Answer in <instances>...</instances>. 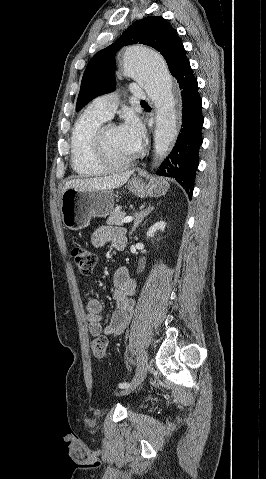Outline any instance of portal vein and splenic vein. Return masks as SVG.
I'll return each mask as SVG.
<instances>
[{
    "label": "portal vein and splenic vein",
    "instance_id": "portal-vein-and-splenic-vein-1",
    "mask_svg": "<svg viewBox=\"0 0 266 479\" xmlns=\"http://www.w3.org/2000/svg\"><path fill=\"white\" fill-rule=\"evenodd\" d=\"M133 220V217L132 216H127L125 218L122 219V223H129Z\"/></svg>",
    "mask_w": 266,
    "mask_h": 479
}]
</instances>
